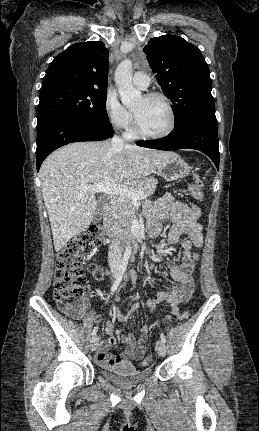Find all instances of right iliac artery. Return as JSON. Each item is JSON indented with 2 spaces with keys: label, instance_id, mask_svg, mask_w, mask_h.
I'll list each match as a JSON object with an SVG mask.
<instances>
[{
  "label": "right iliac artery",
  "instance_id": "1",
  "mask_svg": "<svg viewBox=\"0 0 259 431\" xmlns=\"http://www.w3.org/2000/svg\"><path fill=\"white\" fill-rule=\"evenodd\" d=\"M128 259H129V256L127 254H125L123 256V260H122V264H121V267L119 270V274H118L115 282L113 283V285L111 287V294L114 293L117 290L118 286L120 285V282H121V280L125 274V271L127 269V266H128ZM96 333H97V327H94V329L92 331V335L94 336V335H96Z\"/></svg>",
  "mask_w": 259,
  "mask_h": 431
}]
</instances>
